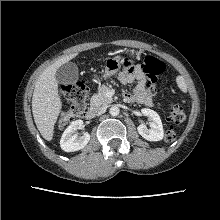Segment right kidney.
Instances as JSON below:
<instances>
[{
    "mask_svg": "<svg viewBox=\"0 0 220 220\" xmlns=\"http://www.w3.org/2000/svg\"><path fill=\"white\" fill-rule=\"evenodd\" d=\"M83 128V121H73L64 131L60 140V147L65 152H74L83 149L90 141V135L84 133L78 138L76 131Z\"/></svg>",
    "mask_w": 220,
    "mask_h": 220,
    "instance_id": "1",
    "label": "right kidney"
}]
</instances>
